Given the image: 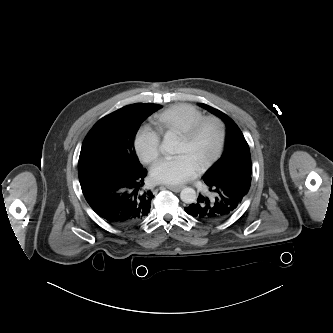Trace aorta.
<instances>
[{
	"instance_id": "aorta-1",
	"label": "aorta",
	"mask_w": 333,
	"mask_h": 333,
	"mask_svg": "<svg viewBox=\"0 0 333 333\" xmlns=\"http://www.w3.org/2000/svg\"><path fill=\"white\" fill-rule=\"evenodd\" d=\"M178 141L170 136H165L162 144L160 145V150L167 152L169 154L177 153ZM180 198L184 203L192 204L196 201V192L193 188H184L180 193Z\"/></svg>"
}]
</instances>
